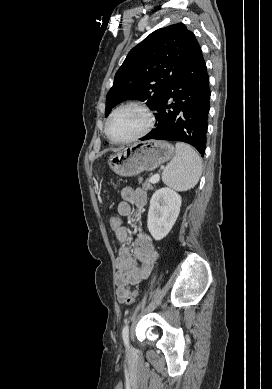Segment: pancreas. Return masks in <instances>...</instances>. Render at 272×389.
Returning a JSON list of instances; mask_svg holds the SVG:
<instances>
[{"label": "pancreas", "mask_w": 272, "mask_h": 389, "mask_svg": "<svg viewBox=\"0 0 272 389\" xmlns=\"http://www.w3.org/2000/svg\"><path fill=\"white\" fill-rule=\"evenodd\" d=\"M143 187H144L146 190H151V189H153V183L151 182V178L148 179L145 183H143Z\"/></svg>", "instance_id": "pancreas-1"}]
</instances>
